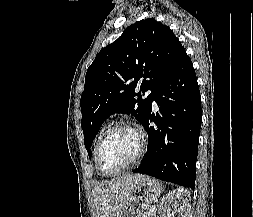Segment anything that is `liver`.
I'll return each mask as SVG.
<instances>
[{
	"label": "liver",
	"instance_id": "obj_1",
	"mask_svg": "<svg viewBox=\"0 0 253 217\" xmlns=\"http://www.w3.org/2000/svg\"><path fill=\"white\" fill-rule=\"evenodd\" d=\"M140 174H125L109 181L97 183L93 189L94 217H118L129 202Z\"/></svg>",
	"mask_w": 253,
	"mask_h": 217
}]
</instances>
